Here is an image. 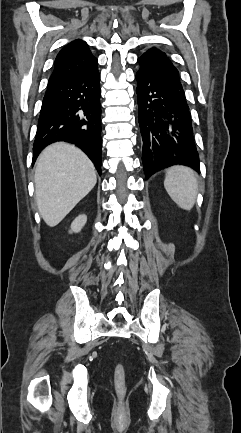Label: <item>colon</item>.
<instances>
[{
	"instance_id": "obj_1",
	"label": "colon",
	"mask_w": 241,
	"mask_h": 433,
	"mask_svg": "<svg viewBox=\"0 0 241 433\" xmlns=\"http://www.w3.org/2000/svg\"><path fill=\"white\" fill-rule=\"evenodd\" d=\"M115 387L119 393L125 390V370L121 363H118L115 368Z\"/></svg>"
}]
</instances>
